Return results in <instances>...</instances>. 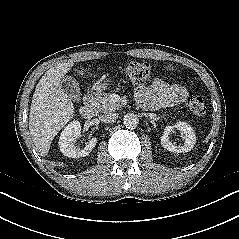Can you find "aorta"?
<instances>
[{
	"label": "aorta",
	"instance_id": "762f6f07",
	"mask_svg": "<svg viewBox=\"0 0 239 239\" xmlns=\"http://www.w3.org/2000/svg\"><path fill=\"white\" fill-rule=\"evenodd\" d=\"M123 123L128 129H135L139 124V119L136 114L128 113L123 118Z\"/></svg>",
	"mask_w": 239,
	"mask_h": 239
}]
</instances>
